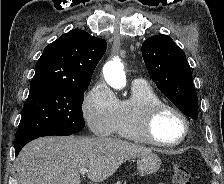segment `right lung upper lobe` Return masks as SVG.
I'll return each mask as SVG.
<instances>
[{
  "mask_svg": "<svg viewBox=\"0 0 224 184\" xmlns=\"http://www.w3.org/2000/svg\"><path fill=\"white\" fill-rule=\"evenodd\" d=\"M107 48L105 40L73 29L47 45L36 63L30 88L89 85L93 71Z\"/></svg>",
  "mask_w": 224,
  "mask_h": 184,
  "instance_id": "cb5924a9",
  "label": "right lung upper lobe"
}]
</instances>
